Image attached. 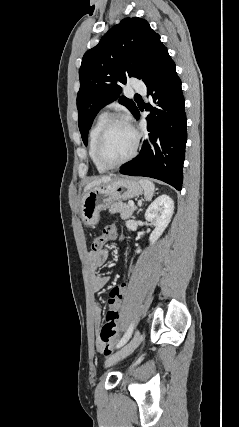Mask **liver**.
<instances>
[{"mask_svg":"<svg viewBox=\"0 0 239 427\" xmlns=\"http://www.w3.org/2000/svg\"><path fill=\"white\" fill-rule=\"evenodd\" d=\"M111 180H112V178L110 176H104L102 178L94 180L85 186L84 193H86L88 190H90L96 186H99L101 184H108L109 182H111Z\"/></svg>","mask_w":239,"mask_h":427,"instance_id":"6515ba94","label":"liver"}]
</instances>
